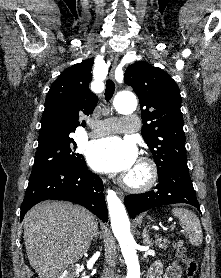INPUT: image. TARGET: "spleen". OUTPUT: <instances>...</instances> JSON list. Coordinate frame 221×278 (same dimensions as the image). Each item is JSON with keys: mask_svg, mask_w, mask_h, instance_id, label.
Masks as SVG:
<instances>
[{"mask_svg": "<svg viewBox=\"0 0 221 278\" xmlns=\"http://www.w3.org/2000/svg\"><path fill=\"white\" fill-rule=\"evenodd\" d=\"M172 214L179 219L181 227L188 233L190 244L199 247L203 242V234L198 217L184 208H173Z\"/></svg>", "mask_w": 221, "mask_h": 278, "instance_id": "3e777b00", "label": "spleen"}]
</instances>
